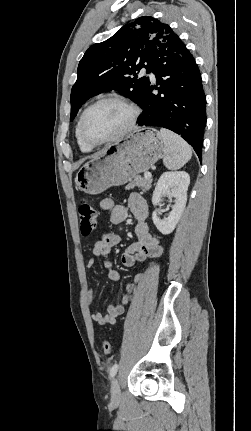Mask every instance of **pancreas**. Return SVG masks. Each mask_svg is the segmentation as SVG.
I'll use <instances>...</instances> for the list:
<instances>
[{"label": "pancreas", "instance_id": "1", "mask_svg": "<svg viewBox=\"0 0 251 431\" xmlns=\"http://www.w3.org/2000/svg\"><path fill=\"white\" fill-rule=\"evenodd\" d=\"M152 178H145L137 175L132 181L126 186V189H133L135 186L142 189L143 191H148L151 188Z\"/></svg>", "mask_w": 251, "mask_h": 431}]
</instances>
